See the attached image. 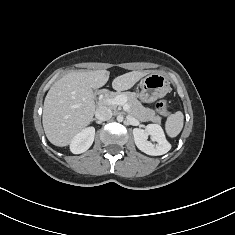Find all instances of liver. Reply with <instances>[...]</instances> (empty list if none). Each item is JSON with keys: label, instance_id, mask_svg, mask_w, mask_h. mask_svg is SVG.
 <instances>
[{"label": "liver", "instance_id": "6515ba94", "mask_svg": "<svg viewBox=\"0 0 235 235\" xmlns=\"http://www.w3.org/2000/svg\"><path fill=\"white\" fill-rule=\"evenodd\" d=\"M147 74V71L125 73L113 80L112 88L128 90ZM109 75L107 70L73 71L51 86L44 100L42 123L53 145H69L74 136L89 125L96 109L93 89L104 86Z\"/></svg>", "mask_w": 235, "mask_h": 235}]
</instances>
